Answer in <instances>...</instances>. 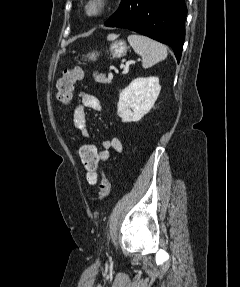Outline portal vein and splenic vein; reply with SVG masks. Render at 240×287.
Listing matches in <instances>:
<instances>
[{
    "instance_id": "18ae733b",
    "label": "portal vein and splenic vein",
    "mask_w": 240,
    "mask_h": 287,
    "mask_svg": "<svg viewBox=\"0 0 240 287\" xmlns=\"http://www.w3.org/2000/svg\"><path fill=\"white\" fill-rule=\"evenodd\" d=\"M129 69V67H128V65L126 66V68H125V70H128ZM108 78L109 79H112L113 78V74L110 72L109 74H108Z\"/></svg>"
}]
</instances>
